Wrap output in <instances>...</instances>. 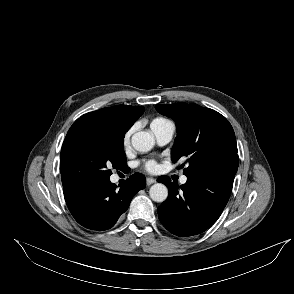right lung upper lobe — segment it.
Here are the masks:
<instances>
[{
	"label": "right lung upper lobe",
	"instance_id": "obj_1",
	"mask_svg": "<svg viewBox=\"0 0 294 294\" xmlns=\"http://www.w3.org/2000/svg\"><path fill=\"white\" fill-rule=\"evenodd\" d=\"M143 106L117 105L84 114L78 118L71 129L77 127H107L127 132L134 122L143 114Z\"/></svg>",
	"mask_w": 294,
	"mask_h": 294
}]
</instances>
